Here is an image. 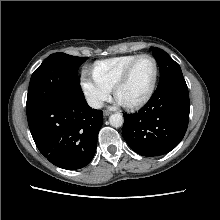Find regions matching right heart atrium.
Returning <instances> with one entry per match:
<instances>
[{
	"label": "right heart atrium",
	"mask_w": 220,
	"mask_h": 220,
	"mask_svg": "<svg viewBox=\"0 0 220 220\" xmlns=\"http://www.w3.org/2000/svg\"><path fill=\"white\" fill-rule=\"evenodd\" d=\"M81 87L88 104L93 108H100L110 97L111 88L101 83L88 69L82 72Z\"/></svg>",
	"instance_id": "1"
}]
</instances>
